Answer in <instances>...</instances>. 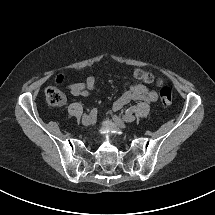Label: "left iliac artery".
Wrapping results in <instances>:
<instances>
[{
    "label": "left iliac artery",
    "instance_id": "44dca946",
    "mask_svg": "<svg viewBox=\"0 0 215 215\" xmlns=\"http://www.w3.org/2000/svg\"><path fill=\"white\" fill-rule=\"evenodd\" d=\"M136 111V106H131L130 108H128L127 110H126V113L127 114H130V113H133V112H135Z\"/></svg>",
    "mask_w": 215,
    "mask_h": 215
}]
</instances>
